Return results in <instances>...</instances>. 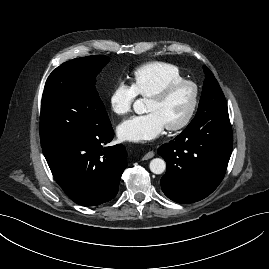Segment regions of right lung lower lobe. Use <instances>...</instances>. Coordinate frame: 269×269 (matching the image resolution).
<instances>
[{
	"label": "right lung lower lobe",
	"mask_w": 269,
	"mask_h": 269,
	"mask_svg": "<svg viewBox=\"0 0 269 269\" xmlns=\"http://www.w3.org/2000/svg\"><path fill=\"white\" fill-rule=\"evenodd\" d=\"M114 136L111 126L69 143L43 149L60 187L75 203L94 206L113 199L127 167L122 144L104 147Z\"/></svg>",
	"instance_id": "right-lung-lower-lobe-1"
}]
</instances>
